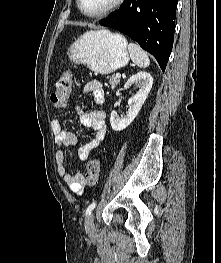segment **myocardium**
<instances>
[{"label": "myocardium", "instance_id": "1", "mask_svg": "<svg viewBox=\"0 0 221 263\" xmlns=\"http://www.w3.org/2000/svg\"><path fill=\"white\" fill-rule=\"evenodd\" d=\"M123 1L124 0H113L109 6H107L102 11H99L96 13H89V12L85 11L83 9V6H82V0H77V5H78V8L83 15H85L89 18H100V17H103V16L115 11L116 9H118L122 5Z\"/></svg>", "mask_w": 221, "mask_h": 263}]
</instances>
